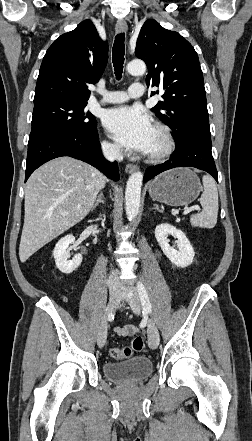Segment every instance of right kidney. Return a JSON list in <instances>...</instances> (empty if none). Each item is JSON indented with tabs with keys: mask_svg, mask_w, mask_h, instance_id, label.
<instances>
[{
	"mask_svg": "<svg viewBox=\"0 0 252 441\" xmlns=\"http://www.w3.org/2000/svg\"><path fill=\"white\" fill-rule=\"evenodd\" d=\"M74 241L75 238L73 235H67L57 242L53 251L56 266L64 274L72 273L82 262L81 254H76L72 260H68L69 253L67 249Z\"/></svg>",
	"mask_w": 252,
	"mask_h": 441,
	"instance_id": "right-kidney-1",
	"label": "right kidney"
}]
</instances>
